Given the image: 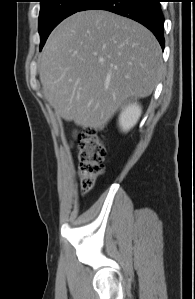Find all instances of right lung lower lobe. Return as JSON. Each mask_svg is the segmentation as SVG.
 Returning <instances> with one entry per match:
<instances>
[{
	"mask_svg": "<svg viewBox=\"0 0 195 299\" xmlns=\"http://www.w3.org/2000/svg\"><path fill=\"white\" fill-rule=\"evenodd\" d=\"M91 9L107 10L141 23L164 48V17L160 0H88L79 11Z\"/></svg>",
	"mask_w": 195,
	"mask_h": 299,
	"instance_id": "obj_1",
	"label": "right lung lower lobe"
}]
</instances>
